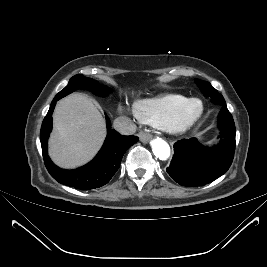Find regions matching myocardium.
<instances>
[{"instance_id": "1", "label": "myocardium", "mask_w": 267, "mask_h": 267, "mask_svg": "<svg viewBox=\"0 0 267 267\" xmlns=\"http://www.w3.org/2000/svg\"><path fill=\"white\" fill-rule=\"evenodd\" d=\"M192 102H198L200 104L199 112L191 117L185 118L184 113ZM205 111V105L199 98H188L180 107H178L168 119L160 126L161 129L170 134H182L189 130L198 120L203 116Z\"/></svg>"}]
</instances>
